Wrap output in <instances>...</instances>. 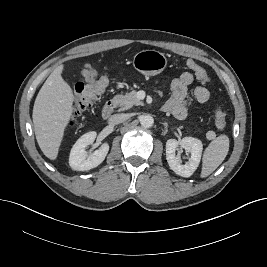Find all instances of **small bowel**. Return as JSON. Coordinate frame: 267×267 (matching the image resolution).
<instances>
[{"mask_svg":"<svg viewBox=\"0 0 267 267\" xmlns=\"http://www.w3.org/2000/svg\"><path fill=\"white\" fill-rule=\"evenodd\" d=\"M81 75L85 81L90 82L97 78V71L91 65H85ZM193 80L194 74L185 72L171 83V97L165 103L164 110L178 119H184L187 116L190 98L199 103L207 102L210 99V91L205 86L196 87L192 96H188V86Z\"/></svg>","mask_w":267,"mask_h":267,"instance_id":"obj_1","label":"small bowel"}]
</instances>
